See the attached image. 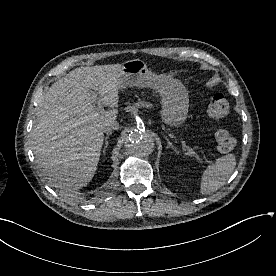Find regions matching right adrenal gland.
I'll use <instances>...</instances> for the list:
<instances>
[{
  "label": "right adrenal gland",
  "mask_w": 276,
  "mask_h": 276,
  "mask_svg": "<svg viewBox=\"0 0 276 276\" xmlns=\"http://www.w3.org/2000/svg\"><path fill=\"white\" fill-rule=\"evenodd\" d=\"M111 135V133H107L106 137H105V145H104V148H103V154H105L106 152V149L108 147V139H109V136Z\"/></svg>",
  "instance_id": "obj_1"
}]
</instances>
